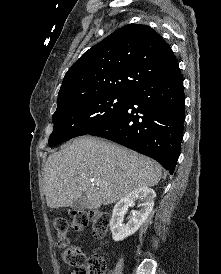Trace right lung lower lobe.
Masks as SVG:
<instances>
[{
	"label": "right lung lower lobe",
	"instance_id": "98d812e1",
	"mask_svg": "<svg viewBox=\"0 0 221 274\" xmlns=\"http://www.w3.org/2000/svg\"><path fill=\"white\" fill-rule=\"evenodd\" d=\"M185 120L183 78L178 63L139 87L105 125L89 133L158 161L172 174Z\"/></svg>",
	"mask_w": 221,
	"mask_h": 274
}]
</instances>
